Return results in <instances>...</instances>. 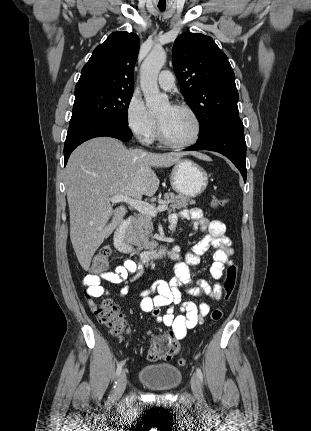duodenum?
Segmentation results:
<instances>
[{"mask_svg":"<svg viewBox=\"0 0 311 431\" xmlns=\"http://www.w3.org/2000/svg\"><path fill=\"white\" fill-rule=\"evenodd\" d=\"M131 217H126L119 223L113 237V242L115 248L125 254H135L143 262L147 263L152 260L163 259L169 250L166 246H161L158 248L147 249L143 251H136L134 247L127 240V231L131 224Z\"/></svg>","mask_w":311,"mask_h":431,"instance_id":"duodenum-1","label":"duodenum"}]
</instances>
